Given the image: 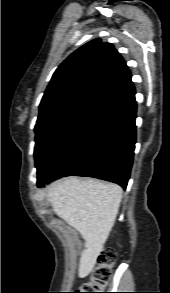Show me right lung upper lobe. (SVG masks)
<instances>
[{
  "mask_svg": "<svg viewBox=\"0 0 170 293\" xmlns=\"http://www.w3.org/2000/svg\"><path fill=\"white\" fill-rule=\"evenodd\" d=\"M135 93L131 74L112 44L94 39L55 71L39 107L37 123L79 104L109 108Z\"/></svg>",
  "mask_w": 170,
  "mask_h": 293,
  "instance_id": "cb5924a9",
  "label": "right lung upper lobe"
}]
</instances>
